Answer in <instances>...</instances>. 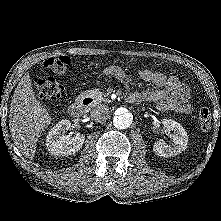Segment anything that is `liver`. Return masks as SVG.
I'll return each mask as SVG.
<instances>
[{
	"mask_svg": "<svg viewBox=\"0 0 221 221\" xmlns=\"http://www.w3.org/2000/svg\"><path fill=\"white\" fill-rule=\"evenodd\" d=\"M51 120L46 108L35 97L30 76L25 74L12 97L9 129L15 145L27 158H34L38 138Z\"/></svg>",
	"mask_w": 221,
	"mask_h": 221,
	"instance_id": "obj_1",
	"label": "liver"
}]
</instances>
